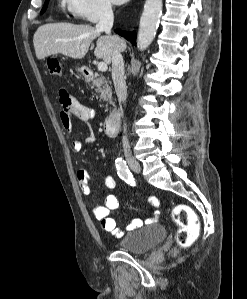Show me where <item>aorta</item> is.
I'll return each mask as SVG.
<instances>
[{"mask_svg":"<svg viewBox=\"0 0 247 299\" xmlns=\"http://www.w3.org/2000/svg\"><path fill=\"white\" fill-rule=\"evenodd\" d=\"M162 13V0H146L140 19L137 48L146 50L155 38Z\"/></svg>","mask_w":247,"mask_h":299,"instance_id":"1","label":"aorta"}]
</instances>
